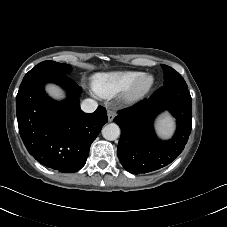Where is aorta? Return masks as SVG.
I'll list each match as a JSON object with an SVG mask.
<instances>
[{
  "instance_id": "obj_1",
  "label": "aorta",
  "mask_w": 227,
  "mask_h": 227,
  "mask_svg": "<svg viewBox=\"0 0 227 227\" xmlns=\"http://www.w3.org/2000/svg\"><path fill=\"white\" fill-rule=\"evenodd\" d=\"M120 135V128L115 123L106 124L102 128V136L109 141L117 139Z\"/></svg>"
}]
</instances>
